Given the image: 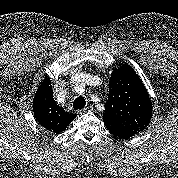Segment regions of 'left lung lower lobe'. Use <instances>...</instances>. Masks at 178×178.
<instances>
[{
    "label": "left lung lower lobe",
    "mask_w": 178,
    "mask_h": 178,
    "mask_svg": "<svg viewBox=\"0 0 178 178\" xmlns=\"http://www.w3.org/2000/svg\"><path fill=\"white\" fill-rule=\"evenodd\" d=\"M106 128L109 130V132H111L113 135L120 137V138H129L134 136L137 133H133L127 130H123L117 127H113V126H106Z\"/></svg>",
    "instance_id": "1"
}]
</instances>
